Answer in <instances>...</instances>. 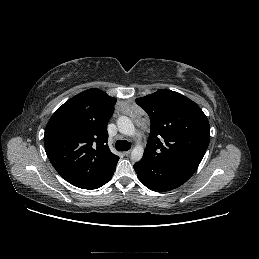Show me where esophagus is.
Here are the masks:
<instances>
[{
  "label": "esophagus",
  "mask_w": 259,
  "mask_h": 259,
  "mask_svg": "<svg viewBox=\"0 0 259 259\" xmlns=\"http://www.w3.org/2000/svg\"><path fill=\"white\" fill-rule=\"evenodd\" d=\"M130 154H131V150H128V151H125V152H124V155H125V156H129Z\"/></svg>",
  "instance_id": "34e87169"
}]
</instances>
